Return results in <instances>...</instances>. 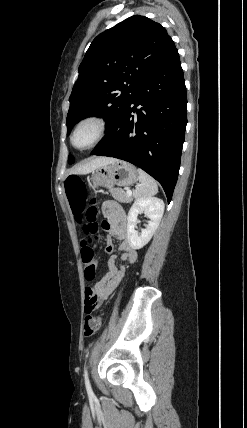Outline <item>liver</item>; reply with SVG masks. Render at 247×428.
<instances>
[{"label":"liver","mask_w":247,"mask_h":428,"mask_svg":"<svg viewBox=\"0 0 247 428\" xmlns=\"http://www.w3.org/2000/svg\"><path fill=\"white\" fill-rule=\"evenodd\" d=\"M116 161L117 159L115 158L98 157L88 162H85L84 164H81L80 166L72 170V172L78 174H88L101 166L111 164Z\"/></svg>","instance_id":"1"}]
</instances>
